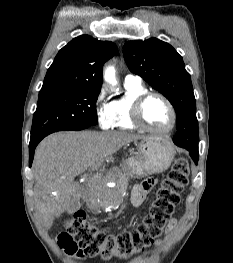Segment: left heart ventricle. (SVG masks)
Returning <instances> with one entry per match:
<instances>
[{"label": "left heart ventricle", "instance_id": "left-heart-ventricle-1", "mask_svg": "<svg viewBox=\"0 0 233 263\" xmlns=\"http://www.w3.org/2000/svg\"><path fill=\"white\" fill-rule=\"evenodd\" d=\"M143 116L146 122L156 129H165L171 123V113L168 107L157 97H152L145 103Z\"/></svg>", "mask_w": 233, "mask_h": 263}]
</instances>
